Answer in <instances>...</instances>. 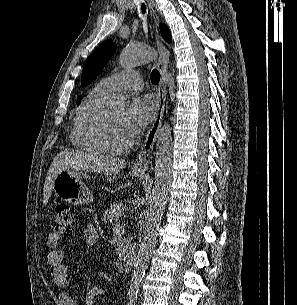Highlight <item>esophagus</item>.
<instances>
[{"label":"esophagus","instance_id":"obj_1","mask_svg":"<svg viewBox=\"0 0 297 305\" xmlns=\"http://www.w3.org/2000/svg\"><path fill=\"white\" fill-rule=\"evenodd\" d=\"M147 2L150 6L151 13L153 15V19L155 22L154 27L156 32L157 47L159 51V59L157 66L161 74V79L157 90L158 105L154 120L146 134V138L141 146V150L132 165L133 169L137 171L147 170L148 164L152 157L154 144L157 140L158 132L162 124V119L165 110L166 94H167V70L169 64V54L159 34V29H158L159 19L153 8L152 0H147Z\"/></svg>","mask_w":297,"mask_h":305}]
</instances>
